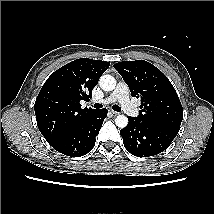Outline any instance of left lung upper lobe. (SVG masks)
I'll list each match as a JSON object with an SVG mask.
<instances>
[{
  "instance_id": "obj_1",
  "label": "left lung upper lobe",
  "mask_w": 214,
  "mask_h": 214,
  "mask_svg": "<svg viewBox=\"0 0 214 214\" xmlns=\"http://www.w3.org/2000/svg\"><path fill=\"white\" fill-rule=\"evenodd\" d=\"M113 67L131 95L141 100L140 121L179 131L183 108L173 85L158 68L144 60L122 61Z\"/></svg>"
}]
</instances>
